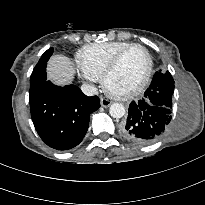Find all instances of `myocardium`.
<instances>
[{"label":"myocardium","instance_id":"f54148a6","mask_svg":"<svg viewBox=\"0 0 205 205\" xmlns=\"http://www.w3.org/2000/svg\"><path fill=\"white\" fill-rule=\"evenodd\" d=\"M134 48L142 49L144 51V53L146 54L147 59H148V66H147V70H146V73H145L143 79L134 89H132L126 93H116V92L111 91L107 86L108 78L116 70V68L118 67V65L121 62L124 55ZM152 72H153V58H152L151 53L149 52V50L145 46L138 44V43H134V44H131L128 47L124 48L123 50H121L119 53H117L113 57V59L107 65V67L105 68V70L101 76V84H102V87L105 90V92L108 93L110 96H112L116 99H119V100H127V99H130V98H133V97L139 95L145 89V87L147 86V84L150 81V78L152 76Z\"/></svg>","mask_w":205,"mask_h":205}]
</instances>
